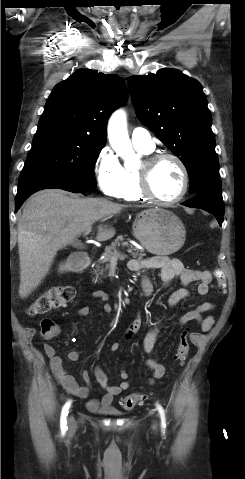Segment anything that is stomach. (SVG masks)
I'll use <instances>...</instances> for the list:
<instances>
[{
    "mask_svg": "<svg viewBox=\"0 0 245 479\" xmlns=\"http://www.w3.org/2000/svg\"><path fill=\"white\" fill-rule=\"evenodd\" d=\"M133 234L147 251L155 255L175 253L184 245L186 237L182 221L171 211L162 208H150L138 213L133 223Z\"/></svg>",
    "mask_w": 245,
    "mask_h": 479,
    "instance_id": "1",
    "label": "stomach"
}]
</instances>
